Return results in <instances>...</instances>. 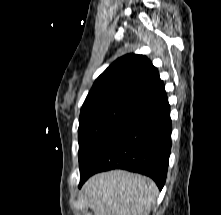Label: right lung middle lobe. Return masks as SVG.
I'll return each instance as SVG.
<instances>
[{
    "mask_svg": "<svg viewBox=\"0 0 221 215\" xmlns=\"http://www.w3.org/2000/svg\"><path fill=\"white\" fill-rule=\"evenodd\" d=\"M135 107L119 102H92L83 105L79 117L80 173L90 164L100 147Z\"/></svg>",
    "mask_w": 221,
    "mask_h": 215,
    "instance_id": "dd1d6c3e",
    "label": "right lung middle lobe"
}]
</instances>
